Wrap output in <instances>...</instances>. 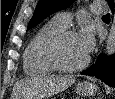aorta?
<instances>
[{
  "label": "aorta",
  "mask_w": 115,
  "mask_h": 99,
  "mask_svg": "<svg viewBox=\"0 0 115 99\" xmlns=\"http://www.w3.org/2000/svg\"><path fill=\"white\" fill-rule=\"evenodd\" d=\"M114 53H115V16L106 43V54L108 56H111Z\"/></svg>",
  "instance_id": "762f6f07"
}]
</instances>
